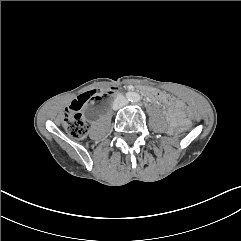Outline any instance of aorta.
<instances>
[{"label": "aorta", "mask_w": 241, "mask_h": 241, "mask_svg": "<svg viewBox=\"0 0 241 241\" xmlns=\"http://www.w3.org/2000/svg\"><path fill=\"white\" fill-rule=\"evenodd\" d=\"M139 99H140L139 94H137V93H133V94H132V96H131V101L137 102V101H139Z\"/></svg>", "instance_id": "aorta-1"}]
</instances>
